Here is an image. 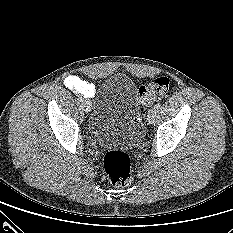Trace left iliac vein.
I'll return each instance as SVG.
<instances>
[{
	"instance_id": "1",
	"label": "left iliac vein",
	"mask_w": 233,
	"mask_h": 233,
	"mask_svg": "<svg viewBox=\"0 0 233 233\" xmlns=\"http://www.w3.org/2000/svg\"><path fill=\"white\" fill-rule=\"evenodd\" d=\"M156 114H157V110L155 108L149 109L148 114H147V121L149 123H153L155 120Z\"/></svg>"
}]
</instances>
